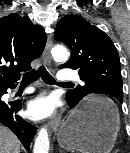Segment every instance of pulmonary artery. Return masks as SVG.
I'll return each mask as SVG.
<instances>
[{
  "instance_id": "pulmonary-artery-1",
  "label": "pulmonary artery",
  "mask_w": 130,
  "mask_h": 153,
  "mask_svg": "<svg viewBox=\"0 0 130 153\" xmlns=\"http://www.w3.org/2000/svg\"><path fill=\"white\" fill-rule=\"evenodd\" d=\"M58 79L61 82L72 83L73 81L79 80V75L74 70H62L59 72ZM33 91H34V88H28L24 91V93L29 94V93H32Z\"/></svg>"
}]
</instances>
